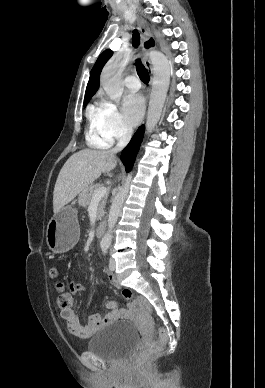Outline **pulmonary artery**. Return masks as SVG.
I'll use <instances>...</instances> for the list:
<instances>
[{
	"instance_id": "e3ab8cb5",
	"label": "pulmonary artery",
	"mask_w": 265,
	"mask_h": 388,
	"mask_svg": "<svg viewBox=\"0 0 265 388\" xmlns=\"http://www.w3.org/2000/svg\"><path fill=\"white\" fill-rule=\"evenodd\" d=\"M139 79H136L135 75H127L125 85L128 86V94H137L139 92Z\"/></svg>"
}]
</instances>
